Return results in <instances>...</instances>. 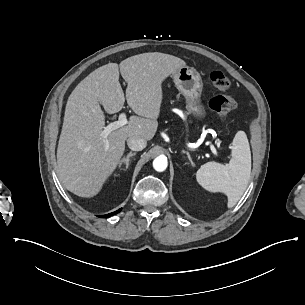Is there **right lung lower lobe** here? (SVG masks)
Listing matches in <instances>:
<instances>
[{"label":"right lung lower lobe","instance_id":"obj_1","mask_svg":"<svg viewBox=\"0 0 305 305\" xmlns=\"http://www.w3.org/2000/svg\"><path fill=\"white\" fill-rule=\"evenodd\" d=\"M120 211H121V209H119V210H117V211H115V212H113V213H110V214H107V215H103V216H101V217H108V216L117 214V213L120 212Z\"/></svg>","mask_w":305,"mask_h":305}]
</instances>
